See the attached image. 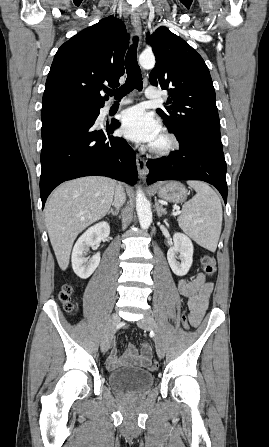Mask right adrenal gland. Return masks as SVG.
I'll return each instance as SVG.
<instances>
[{"label": "right adrenal gland", "mask_w": 269, "mask_h": 447, "mask_svg": "<svg viewBox=\"0 0 269 447\" xmlns=\"http://www.w3.org/2000/svg\"><path fill=\"white\" fill-rule=\"evenodd\" d=\"M119 210H120V208H116V210L114 212V210H112V208H111V210H109V212H107V214H108V216H109V214H112V216H118Z\"/></svg>", "instance_id": "right-adrenal-gland-1"}]
</instances>
